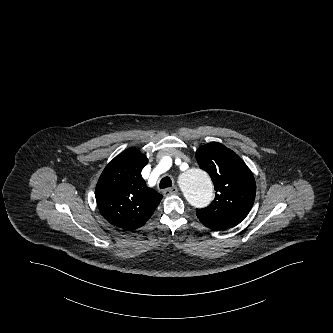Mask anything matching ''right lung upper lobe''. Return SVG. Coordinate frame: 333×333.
<instances>
[{"label": "right lung upper lobe", "instance_id": "cb5924a9", "mask_svg": "<svg viewBox=\"0 0 333 333\" xmlns=\"http://www.w3.org/2000/svg\"><path fill=\"white\" fill-rule=\"evenodd\" d=\"M147 163L144 154L129 148L106 166L98 180L95 197L100 213L124 230L143 226L163 197L147 187L141 176Z\"/></svg>", "mask_w": 333, "mask_h": 333}]
</instances>
